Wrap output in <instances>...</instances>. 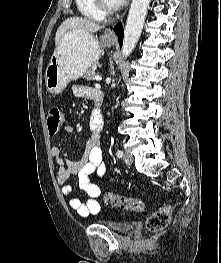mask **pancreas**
Wrapping results in <instances>:
<instances>
[{
  "instance_id": "cf45deb5",
  "label": "pancreas",
  "mask_w": 221,
  "mask_h": 263,
  "mask_svg": "<svg viewBox=\"0 0 221 263\" xmlns=\"http://www.w3.org/2000/svg\"><path fill=\"white\" fill-rule=\"evenodd\" d=\"M98 67V64H94L92 65V67L86 71V73L84 74V78L87 79L88 81H93L94 77L96 75V69Z\"/></svg>"
}]
</instances>
